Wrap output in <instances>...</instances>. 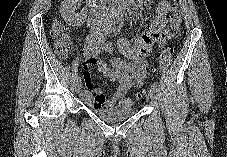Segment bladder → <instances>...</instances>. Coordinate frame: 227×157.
Listing matches in <instances>:
<instances>
[{"label":"bladder","mask_w":227,"mask_h":157,"mask_svg":"<svg viewBox=\"0 0 227 157\" xmlns=\"http://www.w3.org/2000/svg\"><path fill=\"white\" fill-rule=\"evenodd\" d=\"M93 113L105 122L116 123L134 116L137 109L133 107H102L94 108Z\"/></svg>","instance_id":"1"}]
</instances>
